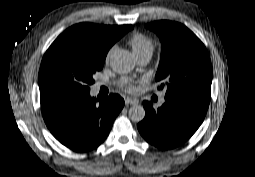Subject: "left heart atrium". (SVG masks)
I'll return each mask as SVG.
<instances>
[{
    "mask_svg": "<svg viewBox=\"0 0 255 177\" xmlns=\"http://www.w3.org/2000/svg\"><path fill=\"white\" fill-rule=\"evenodd\" d=\"M121 87L129 92H134L135 91V87L131 82L125 81L123 83H121Z\"/></svg>",
    "mask_w": 255,
    "mask_h": 177,
    "instance_id": "obj_1",
    "label": "left heart atrium"
}]
</instances>
